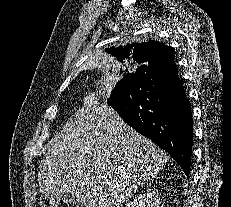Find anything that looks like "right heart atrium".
I'll list each match as a JSON object with an SVG mask.
<instances>
[{
	"instance_id": "d8ad5b80",
	"label": "right heart atrium",
	"mask_w": 231,
	"mask_h": 207,
	"mask_svg": "<svg viewBox=\"0 0 231 207\" xmlns=\"http://www.w3.org/2000/svg\"><path fill=\"white\" fill-rule=\"evenodd\" d=\"M80 103L82 106L87 108H94L98 104V98L95 93H87L83 95L80 99Z\"/></svg>"
}]
</instances>
